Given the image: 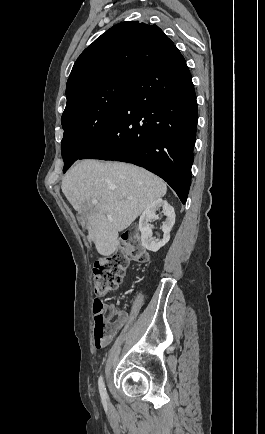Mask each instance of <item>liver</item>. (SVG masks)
<instances>
[{
  "instance_id": "liver-1",
  "label": "liver",
  "mask_w": 265,
  "mask_h": 434,
  "mask_svg": "<svg viewBox=\"0 0 265 434\" xmlns=\"http://www.w3.org/2000/svg\"><path fill=\"white\" fill-rule=\"evenodd\" d=\"M61 188L74 210L85 218L88 238L101 256H111L119 246L118 232L129 228L147 206L167 192L165 182L143 168L98 160L78 162L68 170Z\"/></svg>"
}]
</instances>
